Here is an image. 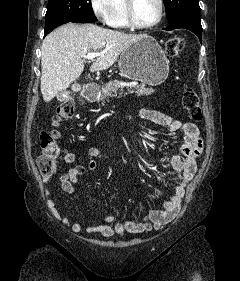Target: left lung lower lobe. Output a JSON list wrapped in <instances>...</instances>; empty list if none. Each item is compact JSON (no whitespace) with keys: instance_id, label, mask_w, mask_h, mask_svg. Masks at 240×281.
Returning a JSON list of instances; mask_svg holds the SVG:
<instances>
[{"instance_id":"0a47b994","label":"left lung lower lobe","mask_w":240,"mask_h":281,"mask_svg":"<svg viewBox=\"0 0 240 281\" xmlns=\"http://www.w3.org/2000/svg\"><path fill=\"white\" fill-rule=\"evenodd\" d=\"M178 28H184L192 31L194 34L197 35V37L201 41L202 26L200 19L190 17L181 18L172 22L167 28H165V30H173Z\"/></svg>"}]
</instances>
